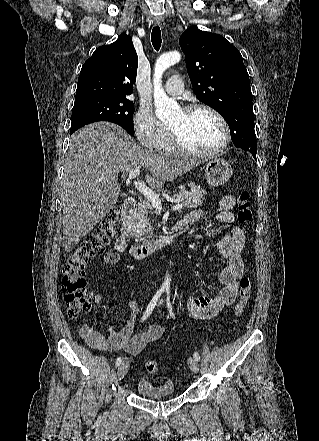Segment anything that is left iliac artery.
Instances as JSON below:
<instances>
[{
	"mask_svg": "<svg viewBox=\"0 0 319 441\" xmlns=\"http://www.w3.org/2000/svg\"><path fill=\"white\" fill-rule=\"evenodd\" d=\"M167 307H168L169 314H170L172 317L175 318V315H174V312H173V310H172V306H171V303H170V295H169V291H167ZM194 358H195L197 361L200 360V355L198 354V352H194Z\"/></svg>",
	"mask_w": 319,
	"mask_h": 441,
	"instance_id": "left-iliac-artery-1",
	"label": "left iliac artery"
}]
</instances>
